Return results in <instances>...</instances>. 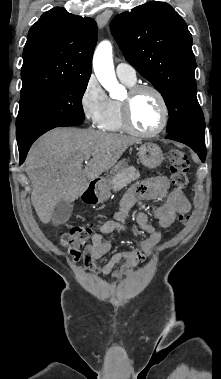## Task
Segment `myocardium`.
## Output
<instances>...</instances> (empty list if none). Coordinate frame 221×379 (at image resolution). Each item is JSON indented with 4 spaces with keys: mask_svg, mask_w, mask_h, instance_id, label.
<instances>
[{
    "mask_svg": "<svg viewBox=\"0 0 221 379\" xmlns=\"http://www.w3.org/2000/svg\"><path fill=\"white\" fill-rule=\"evenodd\" d=\"M149 91L153 93L159 101L161 108V120L158 127L152 131L139 130L132 119V102L142 92ZM122 120L125 130L128 132L145 138H150L160 134L167 126L169 120V108L167 101L162 92L149 84H138L130 87L128 94L124 100L121 101Z\"/></svg>",
    "mask_w": 221,
    "mask_h": 379,
    "instance_id": "f54148a6",
    "label": "myocardium"
}]
</instances>
